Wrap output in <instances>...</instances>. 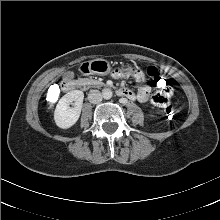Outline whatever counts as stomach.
Returning a JSON list of instances; mask_svg holds the SVG:
<instances>
[{
  "instance_id": "0dacf381",
  "label": "stomach",
  "mask_w": 220,
  "mask_h": 220,
  "mask_svg": "<svg viewBox=\"0 0 220 220\" xmlns=\"http://www.w3.org/2000/svg\"><path fill=\"white\" fill-rule=\"evenodd\" d=\"M110 70L109 62L104 59H95L82 64V71L86 74L106 75Z\"/></svg>"
}]
</instances>
